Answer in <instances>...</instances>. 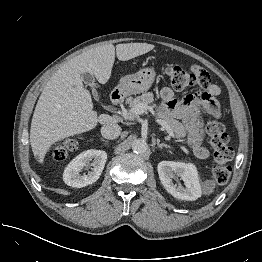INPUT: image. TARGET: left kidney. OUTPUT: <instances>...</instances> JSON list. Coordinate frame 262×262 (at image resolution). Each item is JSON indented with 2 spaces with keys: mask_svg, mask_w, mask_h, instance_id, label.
Returning a JSON list of instances; mask_svg holds the SVG:
<instances>
[{
  "mask_svg": "<svg viewBox=\"0 0 262 262\" xmlns=\"http://www.w3.org/2000/svg\"><path fill=\"white\" fill-rule=\"evenodd\" d=\"M161 183L173 197L186 201L197 200L201 196V185L194 164L161 161L157 166ZM180 177L185 187L175 184L173 180Z\"/></svg>",
  "mask_w": 262,
  "mask_h": 262,
  "instance_id": "left-kidney-1",
  "label": "left kidney"
}]
</instances>
